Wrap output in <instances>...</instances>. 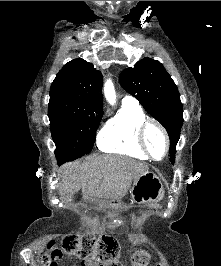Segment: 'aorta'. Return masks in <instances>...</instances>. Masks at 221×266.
Returning a JSON list of instances; mask_svg holds the SVG:
<instances>
[{"label":"aorta","instance_id":"762f6f07","mask_svg":"<svg viewBox=\"0 0 221 266\" xmlns=\"http://www.w3.org/2000/svg\"><path fill=\"white\" fill-rule=\"evenodd\" d=\"M103 91L108 103L114 105L116 103V93L114 84L110 79L106 80L104 83Z\"/></svg>","mask_w":221,"mask_h":266}]
</instances>
